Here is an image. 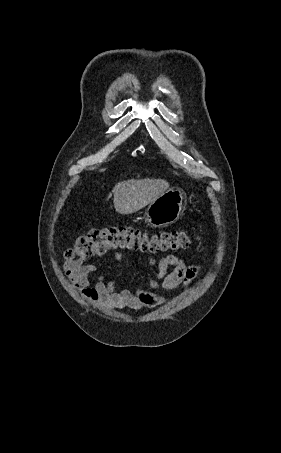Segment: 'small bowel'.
<instances>
[{"instance_id":"small-bowel-1","label":"small bowel","mask_w":281,"mask_h":453,"mask_svg":"<svg viewBox=\"0 0 281 453\" xmlns=\"http://www.w3.org/2000/svg\"><path fill=\"white\" fill-rule=\"evenodd\" d=\"M121 258V255L118 254L117 259ZM150 261L154 262V259H150ZM62 263L74 287L84 298L100 307L111 310H141L166 303L164 297L151 291H116L110 279L101 275L96 276L95 268L84 265L78 258H71ZM170 266L173 267L172 271L167 270ZM155 270L158 281L154 282L152 286L162 290H172L184 282L195 279L199 273V266L185 265L179 255H168L155 264Z\"/></svg>"}]
</instances>
